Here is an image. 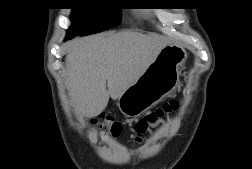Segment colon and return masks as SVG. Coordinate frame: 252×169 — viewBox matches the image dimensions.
I'll return each instance as SVG.
<instances>
[{
  "mask_svg": "<svg viewBox=\"0 0 252 169\" xmlns=\"http://www.w3.org/2000/svg\"><path fill=\"white\" fill-rule=\"evenodd\" d=\"M179 108L178 100H171L164 104L157 110L149 113L146 117L138 121L134 128V137L136 140H140L141 136L144 135L148 129L157 123L159 120L163 119L165 116L176 112ZM94 124L103 128L105 132L113 137L119 136L121 134V125L115 122L112 118L106 115H100L98 118L93 120Z\"/></svg>",
  "mask_w": 252,
  "mask_h": 169,
  "instance_id": "obj_1",
  "label": "colon"
}]
</instances>
